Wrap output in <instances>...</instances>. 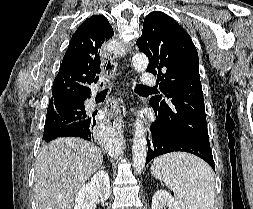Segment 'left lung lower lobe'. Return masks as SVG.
Masks as SVG:
<instances>
[{"label": "left lung lower lobe", "mask_w": 253, "mask_h": 209, "mask_svg": "<svg viewBox=\"0 0 253 209\" xmlns=\"http://www.w3.org/2000/svg\"><path fill=\"white\" fill-rule=\"evenodd\" d=\"M151 130L153 132L152 146L150 147V141L147 139L148 153L146 164L157 156L175 151H183L202 158L215 171L210 146L189 137L170 132L158 120L151 125Z\"/></svg>", "instance_id": "1"}]
</instances>
